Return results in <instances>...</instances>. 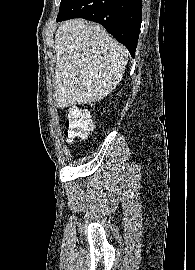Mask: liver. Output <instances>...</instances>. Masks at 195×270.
<instances>
[{"instance_id":"liver-1","label":"liver","mask_w":195,"mask_h":270,"mask_svg":"<svg viewBox=\"0 0 195 270\" xmlns=\"http://www.w3.org/2000/svg\"><path fill=\"white\" fill-rule=\"evenodd\" d=\"M55 94L58 108L91 103L121 81L128 51L96 23L72 19L55 34Z\"/></svg>"}]
</instances>
